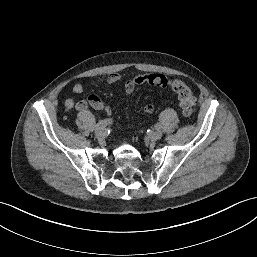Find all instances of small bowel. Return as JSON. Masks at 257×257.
<instances>
[{
    "label": "small bowel",
    "mask_w": 257,
    "mask_h": 257,
    "mask_svg": "<svg viewBox=\"0 0 257 257\" xmlns=\"http://www.w3.org/2000/svg\"><path fill=\"white\" fill-rule=\"evenodd\" d=\"M122 81V77L118 73H112L107 76V82L110 85H116ZM142 84H150L153 86H158L161 88H165L168 84L167 78L163 74L152 73L148 75H138L131 79L126 80L123 83L125 97L131 95L135 90L136 86ZM72 91L76 94H82L84 92V85L81 82H76ZM119 95H115L114 98H119ZM65 107L67 109L75 108L78 111H83L89 107L104 112L106 115H110L111 111L108 106H106L103 101L96 95L90 94L85 100H81L75 103L72 99H66ZM144 112L146 114H152L154 112V106L152 104H147L144 107Z\"/></svg>",
    "instance_id": "1"
}]
</instances>
